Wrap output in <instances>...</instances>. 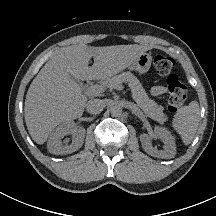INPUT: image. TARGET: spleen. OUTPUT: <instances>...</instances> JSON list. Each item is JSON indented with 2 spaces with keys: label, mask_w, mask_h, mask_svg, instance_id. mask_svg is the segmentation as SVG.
<instances>
[{
  "label": "spleen",
  "mask_w": 216,
  "mask_h": 216,
  "mask_svg": "<svg viewBox=\"0 0 216 216\" xmlns=\"http://www.w3.org/2000/svg\"><path fill=\"white\" fill-rule=\"evenodd\" d=\"M200 120V108L197 101H191L187 106L180 108L172 121V127L181 136L183 143L192 142Z\"/></svg>",
  "instance_id": "spleen-1"
}]
</instances>
